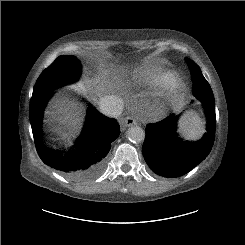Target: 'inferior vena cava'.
Returning a JSON list of instances; mask_svg holds the SVG:
<instances>
[{
    "instance_id": "602c4592",
    "label": "inferior vena cava",
    "mask_w": 245,
    "mask_h": 245,
    "mask_svg": "<svg viewBox=\"0 0 245 245\" xmlns=\"http://www.w3.org/2000/svg\"><path fill=\"white\" fill-rule=\"evenodd\" d=\"M99 108L106 116L118 117L123 111L124 103L121 98L115 95H108L100 100Z\"/></svg>"
}]
</instances>
